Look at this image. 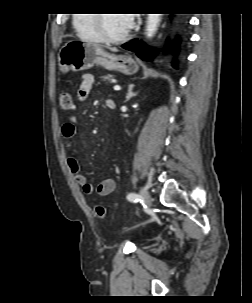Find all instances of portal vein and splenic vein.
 <instances>
[{
    "label": "portal vein and splenic vein",
    "instance_id": "18ae733b",
    "mask_svg": "<svg viewBox=\"0 0 252 303\" xmlns=\"http://www.w3.org/2000/svg\"><path fill=\"white\" fill-rule=\"evenodd\" d=\"M114 90H115V91H119V90H121V87H120L119 85H115V86H114Z\"/></svg>",
    "mask_w": 252,
    "mask_h": 303
}]
</instances>
